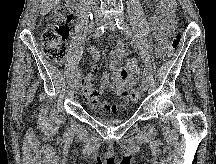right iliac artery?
Masks as SVG:
<instances>
[{"mask_svg":"<svg viewBox=\"0 0 216 164\" xmlns=\"http://www.w3.org/2000/svg\"><path fill=\"white\" fill-rule=\"evenodd\" d=\"M104 32H105V26L102 25L95 30L94 37L99 38L100 36H102L104 34ZM80 76H81V73L76 72L74 80L78 81Z\"/></svg>","mask_w":216,"mask_h":164,"instance_id":"82829eb1","label":"right iliac artery"}]
</instances>
